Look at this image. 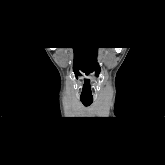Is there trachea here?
Returning a JSON list of instances; mask_svg holds the SVG:
<instances>
[{
  "label": "trachea",
  "instance_id": "obj_1",
  "mask_svg": "<svg viewBox=\"0 0 165 165\" xmlns=\"http://www.w3.org/2000/svg\"><path fill=\"white\" fill-rule=\"evenodd\" d=\"M81 102H82L83 105H85V106H89V105L92 104V100H83V99H81Z\"/></svg>",
  "mask_w": 165,
  "mask_h": 165
}]
</instances>
